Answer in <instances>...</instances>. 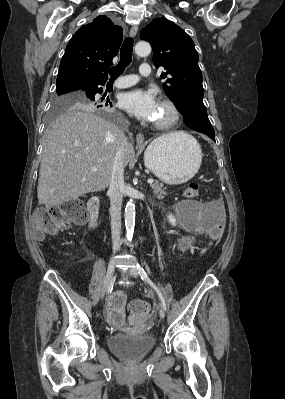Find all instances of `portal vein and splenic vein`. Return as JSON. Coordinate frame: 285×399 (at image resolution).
Wrapping results in <instances>:
<instances>
[{
	"label": "portal vein and splenic vein",
	"instance_id": "1",
	"mask_svg": "<svg viewBox=\"0 0 285 399\" xmlns=\"http://www.w3.org/2000/svg\"><path fill=\"white\" fill-rule=\"evenodd\" d=\"M91 170H92L93 172H95V171H97V168L93 167ZM147 182H148L149 184H153V183H154V180H153V179H148Z\"/></svg>",
	"mask_w": 285,
	"mask_h": 399
}]
</instances>
